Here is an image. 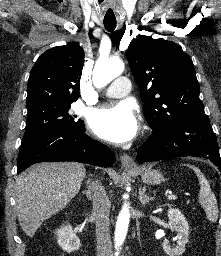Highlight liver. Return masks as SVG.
<instances>
[{"instance_id": "6515ba94", "label": "liver", "mask_w": 221, "mask_h": 256, "mask_svg": "<svg viewBox=\"0 0 221 256\" xmlns=\"http://www.w3.org/2000/svg\"><path fill=\"white\" fill-rule=\"evenodd\" d=\"M86 169L81 163L54 162L33 165L15 181L16 211L20 225L33 237L42 223L79 192Z\"/></svg>"}]
</instances>
